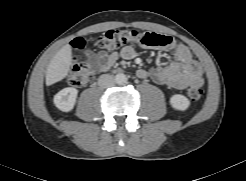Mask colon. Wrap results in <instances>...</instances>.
<instances>
[{"label": "colon", "mask_w": 246, "mask_h": 181, "mask_svg": "<svg viewBox=\"0 0 246 181\" xmlns=\"http://www.w3.org/2000/svg\"><path fill=\"white\" fill-rule=\"evenodd\" d=\"M100 48L114 50L137 44L150 48H169L176 45V40L170 36L154 32H140L130 29H111L103 33L97 40ZM73 46L81 49L84 46V40L77 38ZM93 78L92 68L89 64L81 61H75L69 73V83L74 87H82ZM188 97L192 100H198L203 95V90L198 86H191L187 90Z\"/></svg>", "instance_id": "obj_1"}]
</instances>
